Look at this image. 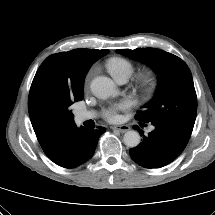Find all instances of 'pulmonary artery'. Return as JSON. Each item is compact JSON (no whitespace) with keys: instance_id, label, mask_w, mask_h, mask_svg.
<instances>
[{"instance_id":"1","label":"pulmonary artery","mask_w":215,"mask_h":215,"mask_svg":"<svg viewBox=\"0 0 215 215\" xmlns=\"http://www.w3.org/2000/svg\"><path fill=\"white\" fill-rule=\"evenodd\" d=\"M119 84H124L126 82V80L122 79L117 81ZM96 114L92 111H82L76 114L75 116V121L77 123H82L85 122L87 120L93 119L95 118ZM150 129H153V127H151Z\"/></svg>"}]
</instances>
